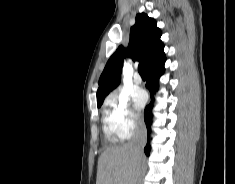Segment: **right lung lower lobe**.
Returning <instances> with one entry per match:
<instances>
[{
	"mask_svg": "<svg viewBox=\"0 0 235 184\" xmlns=\"http://www.w3.org/2000/svg\"><path fill=\"white\" fill-rule=\"evenodd\" d=\"M166 61V57L157 62L156 64L150 66L147 68V74H148V81L146 83V88L149 90L152 98V102L145 107L144 110V120L146 123V126L148 128V142L147 145L144 148V152L147 156L150 154V125H151V118H152V113L151 109L153 106V94L155 91L158 89V80L159 77L164 73V63Z\"/></svg>",
	"mask_w": 235,
	"mask_h": 184,
	"instance_id": "1",
	"label": "right lung lower lobe"
}]
</instances>
